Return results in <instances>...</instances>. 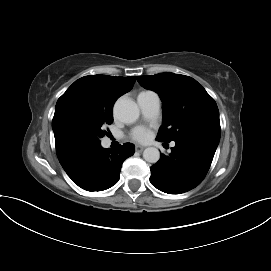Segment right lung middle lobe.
<instances>
[{
	"instance_id": "1",
	"label": "right lung middle lobe",
	"mask_w": 271,
	"mask_h": 271,
	"mask_svg": "<svg viewBox=\"0 0 271 271\" xmlns=\"http://www.w3.org/2000/svg\"><path fill=\"white\" fill-rule=\"evenodd\" d=\"M112 122L111 109L72 102L60 111L53 126L65 144L83 151L100 146V138L106 134L104 126Z\"/></svg>"
}]
</instances>
